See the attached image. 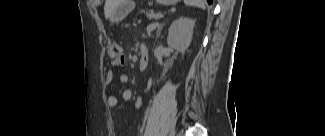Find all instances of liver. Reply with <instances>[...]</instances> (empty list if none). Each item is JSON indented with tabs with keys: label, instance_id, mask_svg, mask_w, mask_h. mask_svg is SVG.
<instances>
[{
	"label": "liver",
	"instance_id": "1",
	"mask_svg": "<svg viewBox=\"0 0 325 136\" xmlns=\"http://www.w3.org/2000/svg\"><path fill=\"white\" fill-rule=\"evenodd\" d=\"M120 0H105L104 13L105 18L110 20V17L114 10L117 8Z\"/></svg>",
	"mask_w": 325,
	"mask_h": 136
}]
</instances>
